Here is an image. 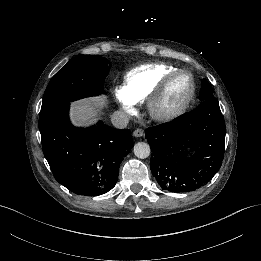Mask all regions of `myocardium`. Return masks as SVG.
I'll return each instance as SVG.
<instances>
[{
	"instance_id": "obj_1",
	"label": "myocardium",
	"mask_w": 261,
	"mask_h": 261,
	"mask_svg": "<svg viewBox=\"0 0 261 261\" xmlns=\"http://www.w3.org/2000/svg\"><path fill=\"white\" fill-rule=\"evenodd\" d=\"M183 76L187 79L190 91L188 96L177 106L168 108L165 106V101L171 90L174 81ZM196 93V85L190 73L184 70L176 69L168 75L161 83L156 92L150 97L148 101V110L150 116L156 121H169L182 115L189 107Z\"/></svg>"
}]
</instances>
